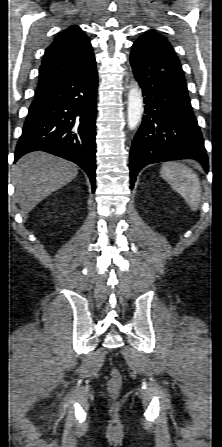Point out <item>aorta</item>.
<instances>
[{"label": "aorta", "instance_id": "762f6f07", "mask_svg": "<svg viewBox=\"0 0 222 447\" xmlns=\"http://www.w3.org/2000/svg\"><path fill=\"white\" fill-rule=\"evenodd\" d=\"M143 114L142 92L137 83L131 85L128 94L127 121L129 129L133 130L141 121Z\"/></svg>", "mask_w": 222, "mask_h": 447}]
</instances>
